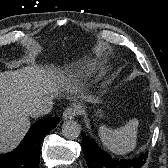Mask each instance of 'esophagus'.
Listing matches in <instances>:
<instances>
[{
	"instance_id": "1",
	"label": "esophagus",
	"mask_w": 168,
	"mask_h": 168,
	"mask_svg": "<svg viewBox=\"0 0 168 168\" xmlns=\"http://www.w3.org/2000/svg\"><path fill=\"white\" fill-rule=\"evenodd\" d=\"M79 112H80V109L78 106H70L65 109L62 117L64 120H72L77 116V114H79Z\"/></svg>"
}]
</instances>
